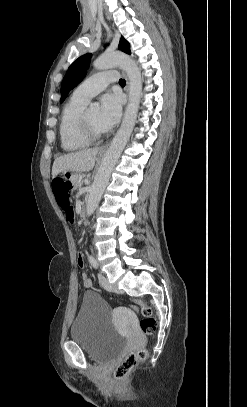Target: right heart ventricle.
Returning <instances> with one entry per match:
<instances>
[{"label":"right heart ventricle","instance_id":"obj_1","mask_svg":"<svg viewBox=\"0 0 247 407\" xmlns=\"http://www.w3.org/2000/svg\"><path fill=\"white\" fill-rule=\"evenodd\" d=\"M85 100L72 96L64 105L59 124L61 147L64 151L75 152L88 147L91 143L79 128V117Z\"/></svg>","mask_w":247,"mask_h":407}]
</instances>
